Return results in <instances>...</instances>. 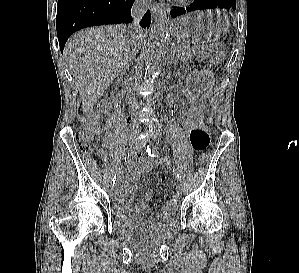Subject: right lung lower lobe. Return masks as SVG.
<instances>
[{"mask_svg": "<svg viewBox=\"0 0 299 273\" xmlns=\"http://www.w3.org/2000/svg\"><path fill=\"white\" fill-rule=\"evenodd\" d=\"M135 0H58L56 28L60 50L75 31L82 28L132 22L131 8ZM150 11L140 24L148 28Z\"/></svg>", "mask_w": 299, "mask_h": 273, "instance_id": "right-lung-lower-lobe-1", "label": "right lung lower lobe"}]
</instances>
